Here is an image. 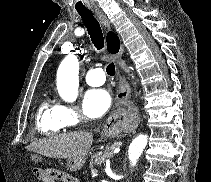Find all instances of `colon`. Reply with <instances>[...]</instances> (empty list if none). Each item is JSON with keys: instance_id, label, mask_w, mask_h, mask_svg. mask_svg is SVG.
I'll list each match as a JSON object with an SVG mask.
<instances>
[{"instance_id": "1", "label": "colon", "mask_w": 211, "mask_h": 182, "mask_svg": "<svg viewBox=\"0 0 211 182\" xmlns=\"http://www.w3.org/2000/svg\"><path fill=\"white\" fill-rule=\"evenodd\" d=\"M44 172L43 175L40 174V172L37 173L38 178H42L45 182H56V181H62L66 182L68 180V174L61 172L59 170L55 169H45L42 170Z\"/></svg>"}]
</instances>
